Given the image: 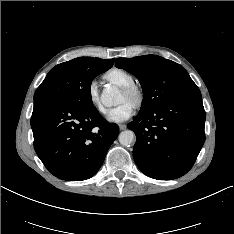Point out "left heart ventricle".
<instances>
[{"mask_svg":"<svg viewBox=\"0 0 234 234\" xmlns=\"http://www.w3.org/2000/svg\"><path fill=\"white\" fill-rule=\"evenodd\" d=\"M124 101L131 103L129 100L126 99V97L123 95V93L120 92L119 98H118V103H122Z\"/></svg>","mask_w":234,"mask_h":234,"instance_id":"left-heart-ventricle-1","label":"left heart ventricle"}]
</instances>
